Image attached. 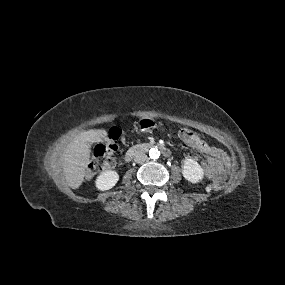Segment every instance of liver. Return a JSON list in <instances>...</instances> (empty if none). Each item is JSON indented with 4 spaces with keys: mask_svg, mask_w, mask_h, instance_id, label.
<instances>
[{
    "mask_svg": "<svg viewBox=\"0 0 285 285\" xmlns=\"http://www.w3.org/2000/svg\"><path fill=\"white\" fill-rule=\"evenodd\" d=\"M106 134L105 130L83 131L68 145L63 156L62 169L70 188H79L84 180L91 153L89 143L101 141Z\"/></svg>",
    "mask_w": 285,
    "mask_h": 285,
    "instance_id": "6515ba94",
    "label": "liver"
}]
</instances>
